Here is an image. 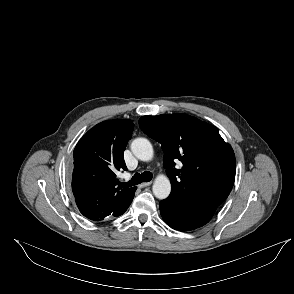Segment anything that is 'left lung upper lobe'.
<instances>
[{"mask_svg": "<svg viewBox=\"0 0 294 294\" xmlns=\"http://www.w3.org/2000/svg\"><path fill=\"white\" fill-rule=\"evenodd\" d=\"M139 125L161 143L172 194L216 208L228 197L235 180V155L216 127L187 114L143 116ZM177 160L181 169L175 168Z\"/></svg>", "mask_w": 294, "mask_h": 294, "instance_id": "5c2ea615", "label": "left lung upper lobe"}]
</instances>
